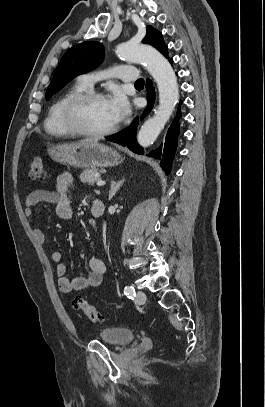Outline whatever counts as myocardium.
I'll return each instance as SVG.
<instances>
[{
  "label": "myocardium",
  "instance_id": "1",
  "mask_svg": "<svg viewBox=\"0 0 265 407\" xmlns=\"http://www.w3.org/2000/svg\"><path fill=\"white\" fill-rule=\"evenodd\" d=\"M106 99L105 96L95 91H85L71 97L65 104L62 111V121L64 126L74 135L89 137V138H104L118 129L115 124L111 128L103 131H92L86 129L80 120L82 109L92 101Z\"/></svg>",
  "mask_w": 265,
  "mask_h": 407
}]
</instances>
